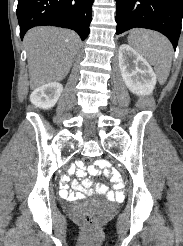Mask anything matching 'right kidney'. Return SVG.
I'll list each match as a JSON object with an SVG mask.
<instances>
[{"label":"right kidney","instance_id":"obj_1","mask_svg":"<svg viewBox=\"0 0 183 246\" xmlns=\"http://www.w3.org/2000/svg\"><path fill=\"white\" fill-rule=\"evenodd\" d=\"M63 91L62 84L51 82L36 88L30 95V101L42 109L52 108Z\"/></svg>","mask_w":183,"mask_h":246}]
</instances>
